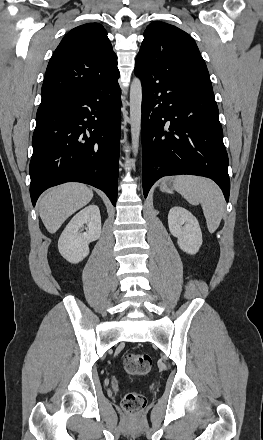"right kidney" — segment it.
Returning <instances> with one entry per match:
<instances>
[{
  "mask_svg": "<svg viewBox=\"0 0 263 440\" xmlns=\"http://www.w3.org/2000/svg\"><path fill=\"white\" fill-rule=\"evenodd\" d=\"M84 224L86 232L81 233ZM101 235V216L97 205H89L68 223L58 240L60 254L70 263H79L89 254V243Z\"/></svg>",
  "mask_w": 263,
  "mask_h": 440,
  "instance_id": "right-kidney-1",
  "label": "right kidney"
}]
</instances>
